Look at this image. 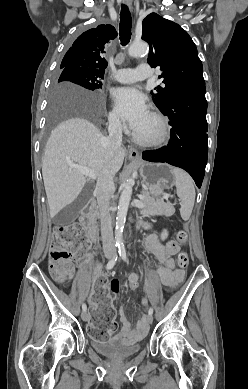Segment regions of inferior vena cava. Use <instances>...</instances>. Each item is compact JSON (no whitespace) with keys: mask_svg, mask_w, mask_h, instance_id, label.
<instances>
[{"mask_svg":"<svg viewBox=\"0 0 248 389\" xmlns=\"http://www.w3.org/2000/svg\"><path fill=\"white\" fill-rule=\"evenodd\" d=\"M109 136L105 137L103 145L106 153L105 167L98 176L94 195L101 215V235L103 249L105 252H115V242L113 239L112 219L110 216V198L115 190L113 174L107 165L109 159L113 157L122 143V127L120 120L113 117L109 120Z\"/></svg>","mask_w":248,"mask_h":389,"instance_id":"inferior-vena-cava-1","label":"inferior vena cava"}]
</instances>
